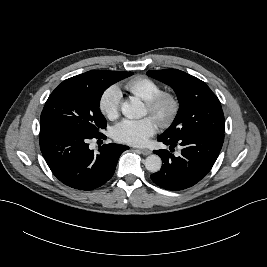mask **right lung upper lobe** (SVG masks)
Masks as SVG:
<instances>
[{
	"mask_svg": "<svg viewBox=\"0 0 267 267\" xmlns=\"http://www.w3.org/2000/svg\"><path fill=\"white\" fill-rule=\"evenodd\" d=\"M104 72L105 71H103V70L88 71L86 73L74 76V77L69 78V79H71V80H87V79H90L92 77L98 76Z\"/></svg>",
	"mask_w": 267,
	"mask_h": 267,
	"instance_id": "cb5924a9",
	"label": "right lung upper lobe"
}]
</instances>
